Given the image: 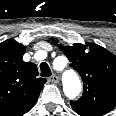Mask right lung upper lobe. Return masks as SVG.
<instances>
[{
    "label": "right lung upper lobe",
    "mask_w": 116,
    "mask_h": 116,
    "mask_svg": "<svg viewBox=\"0 0 116 116\" xmlns=\"http://www.w3.org/2000/svg\"><path fill=\"white\" fill-rule=\"evenodd\" d=\"M26 47L15 40L0 43V116H22L35 105L46 79L24 62Z\"/></svg>",
    "instance_id": "right-lung-upper-lobe-1"
}]
</instances>
